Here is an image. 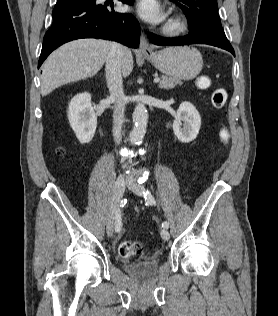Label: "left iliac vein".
I'll return each instance as SVG.
<instances>
[{
    "label": "left iliac vein",
    "instance_id": "left-iliac-vein-1",
    "mask_svg": "<svg viewBox=\"0 0 278 316\" xmlns=\"http://www.w3.org/2000/svg\"><path fill=\"white\" fill-rule=\"evenodd\" d=\"M127 187L138 196H143L144 194L143 187L133 179L128 180ZM160 234L163 240L168 241L170 239V234L166 228H163Z\"/></svg>",
    "mask_w": 278,
    "mask_h": 316
}]
</instances>
